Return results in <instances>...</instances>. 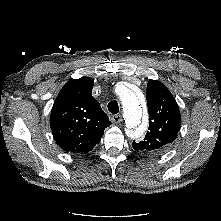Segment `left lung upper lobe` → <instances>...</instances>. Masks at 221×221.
Listing matches in <instances>:
<instances>
[{
  "label": "left lung upper lobe",
  "instance_id": "obj_1",
  "mask_svg": "<svg viewBox=\"0 0 221 221\" xmlns=\"http://www.w3.org/2000/svg\"><path fill=\"white\" fill-rule=\"evenodd\" d=\"M149 131L133 149L149 155L160 154L176 139L181 116L173 95L161 82L149 80L147 84Z\"/></svg>",
  "mask_w": 221,
  "mask_h": 221
}]
</instances>
